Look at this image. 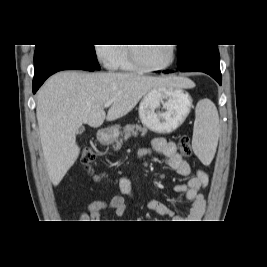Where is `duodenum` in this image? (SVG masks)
I'll list each match as a JSON object with an SVG mask.
<instances>
[{
	"label": "duodenum",
	"mask_w": 267,
	"mask_h": 267,
	"mask_svg": "<svg viewBox=\"0 0 267 267\" xmlns=\"http://www.w3.org/2000/svg\"><path fill=\"white\" fill-rule=\"evenodd\" d=\"M106 137H107V133H106L105 130H103V131L101 132V138L104 140V139H106Z\"/></svg>",
	"instance_id": "1"
}]
</instances>
